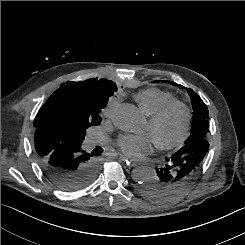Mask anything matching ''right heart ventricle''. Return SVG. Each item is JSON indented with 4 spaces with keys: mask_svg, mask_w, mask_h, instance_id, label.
Instances as JSON below:
<instances>
[{
    "mask_svg": "<svg viewBox=\"0 0 245 245\" xmlns=\"http://www.w3.org/2000/svg\"><path fill=\"white\" fill-rule=\"evenodd\" d=\"M137 101L143 112L151 116L159 111L162 107L170 102L176 100V97L168 92L157 88H148L135 95Z\"/></svg>",
    "mask_w": 245,
    "mask_h": 245,
    "instance_id": "e07e8e85",
    "label": "right heart ventricle"
}]
</instances>
